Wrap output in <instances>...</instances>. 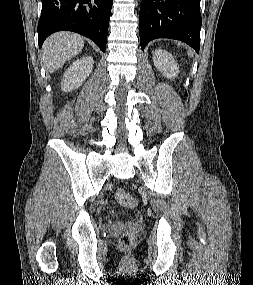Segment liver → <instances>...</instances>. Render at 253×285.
Masks as SVG:
<instances>
[{"label": "liver", "mask_w": 253, "mask_h": 285, "mask_svg": "<svg viewBox=\"0 0 253 285\" xmlns=\"http://www.w3.org/2000/svg\"><path fill=\"white\" fill-rule=\"evenodd\" d=\"M84 47L83 38L71 32H59L46 39L42 48L44 66L49 73L61 68L66 61L79 54Z\"/></svg>", "instance_id": "6515ba94"}]
</instances>
